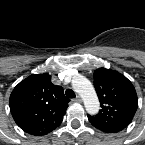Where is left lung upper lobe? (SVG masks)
I'll return each instance as SVG.
<instances>
[{"label":"left lung upper lobe","mask_w":145,"mask_h":145,"mask_svg":"<svg viewBox=\"0 0 145 145\" xmlns=\"http://www.w3.org/2000/svg\"><path fill=\"white\" fill-rule=\"evenodd\" d=\"M94 86L102 109L90 123L105 133H117L132 121L138 107L133 84L117 71L99 68L94 72Z\"/></svg>","instance_id":"5c2ea615"}]
</instances>
